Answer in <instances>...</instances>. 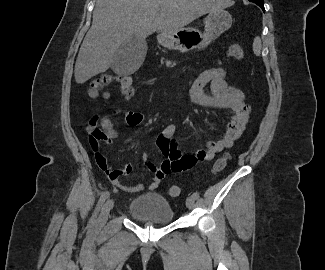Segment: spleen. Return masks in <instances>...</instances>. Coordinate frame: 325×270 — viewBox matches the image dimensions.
<instances>
[{
    "mask_svg": "<svg viewBox=\"0 0 325 270\" xmlns=\"http://www.w3.org/2000/svg\"><path fill=\"white\" fill-rule=\"evenodd\" d=\"M262 49V43L260 37H255L253 42V51L255 55L259 56Z\"/></svg>",
    "mask_w": 325,
    "mask_h": 270,
    "instance_id": "spleen-1",
    "label": "spleen"
}]
</instances>
